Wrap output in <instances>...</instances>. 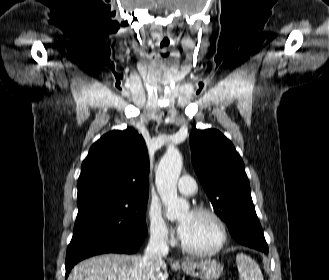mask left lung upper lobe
I'll return each mask as SVG.
<instances>
[{"label": "left lung upper lobe", "instance_id": "5c2ea615", "mask_svg": "<svg viewBox=\"0 0 329 280\" xmlns=\"http://www.w3.org/2000/svg\"><path fill=\"white\" fill-rule=\"evenodd\" d=\"M189 141L194 169L215 213L230 232L248 225L255 209L244 163L233 144L214 129L194 128ZM239 242L256 243L257 238L248 236Z\"/></svg>", "mask_w": 329, "mask_h": 280}]
</instances>
